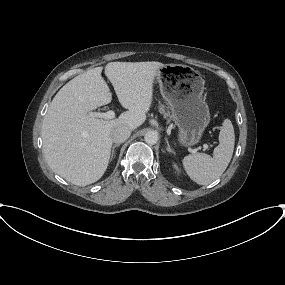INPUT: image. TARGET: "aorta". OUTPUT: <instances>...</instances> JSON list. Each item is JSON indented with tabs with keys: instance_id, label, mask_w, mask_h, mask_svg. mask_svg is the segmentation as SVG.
<instances>
[{
	"instance_id": "1",
	"label": "aorta",
	"mask_w": 285,
	"mask_h": 285,
	"mask_svg": "<svg viewBox=\"0 0 285 285\" xmlns=\"http://www.w3.org/2000/svg\"><path fill=\"white\" fill-rule=\"evenodd\" d=\"M145 142L150 145H154L158 141V135L154 131H148L144 136Z\"/></svg>"
}]
</instances>
